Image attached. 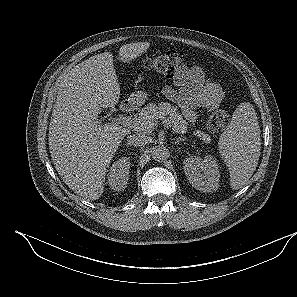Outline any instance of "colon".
I'll return each instance as SVG.
<instances>
[{"instance_id": "5ec220e1", "label": "colon", "mask_w": 297, "mask_h": 297, "mask_svg": "<svg viewBox=\"0 0 297 297\" xmlns=\"http://www.w3.org/2000/svg\"><path fill=\"white\" fill-rule=\"evenodd\" d=\"M185 63L182 52L171 50L156 54L144 61L147 70L155 71L168 78L174 77ZM229 123V115L223 109L213 111L207 121V128L213 134H219L225 130Z\"/></svg>"}]
</instances>
